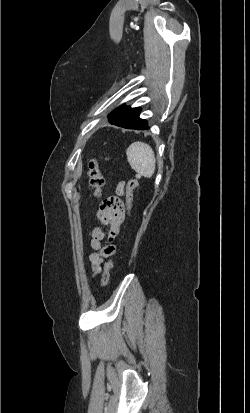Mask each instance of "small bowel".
Here are the masks:
<instances>
[{
    "label": "small bowel",
    "mask_w": 250,
    "mask_h": 413,
    "mask_svg": "<svg viewBox=\"0 0 250 413\" xmlns=\"http://www.w3.org/2000/svg\"><path fill=\"white\" fill-rule=\"evenodd\" d=\"M124 183H119L116 189L118 196L123 194ZM125 215V207L122 200L115 196L106 199L97 212L98 220L108 227L107 233L101 228L95 227L91 233L90 247L93 252L89 254L88 260L94 275L101 271V264L104 259L111 257L116 252V247L111 242L119 234ZM109 244H104L105 238Z\"/></svg>",
    "instance_id": "1"
}]
</instances>
